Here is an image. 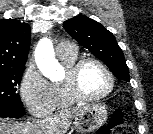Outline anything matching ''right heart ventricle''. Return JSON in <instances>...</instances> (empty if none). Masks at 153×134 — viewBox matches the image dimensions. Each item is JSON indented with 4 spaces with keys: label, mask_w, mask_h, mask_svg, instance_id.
I'll use <instances>...</instances> for the list:
<instances>
[{
    "label": "right heart ventricle",
    "mask_w": 153,
    "mask_h": 134,
    "mask_svg": "<svg viewBox=\"0 0 153 134\" xmlns=\"http://www.w3.org/2000/svg\"><path fill=\"white\" fill-rule=\"evenodd\" d=\"M59 58L63 63V65L66 67V69H68L78 60V54L77 52H75L71 55L60 56ZM51 87H52V97H53L52 110L67 108L75 103L67 96L62 81L52 83Z\"/></svg>",
    "instance_id": "e07e8e85"
}]
</instances>
